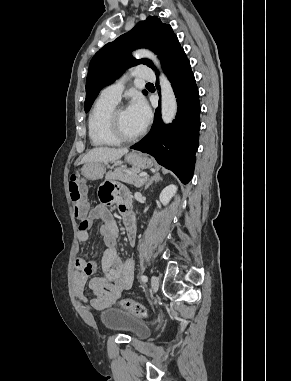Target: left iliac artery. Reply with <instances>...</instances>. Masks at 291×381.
<instances>
[{
	"mask_svg": "<svg viewBox=\"0 0 291 381\" xmlns=\"http://www.w3.org/2000/svg\"><path fill=\"white\" fill-rule=\"evenodd\" d=\"M141 280H142L143 282H147V281H148V277H147L146 275H142V276H141Z\"/></svg>",
	"mask_w": 291,
	"mask_h": 381,
	"instance_id": "obj_1",
	"label": "left iliac artery"
}]
</instances>
